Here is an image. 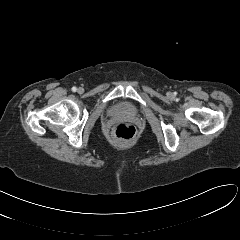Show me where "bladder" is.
I'll return each mask as SVG.
<instances>
[{
  "instance_id": "1",
  "label": "bladder",
  "mask_w": 240,
  "mask_h": 240,
  "mask_svg": "<svg viewBox=\"0 0 240 240\" xmlns=\"http://www.w3.org/2000/svg\"><path fill=\"white\" fill-rule=\"evenodd\" d=\"M111 112L116 115H124V114H134L135 110L132 106L124 103H120L115 105Z\"/></svg>"
}]
</instances>
